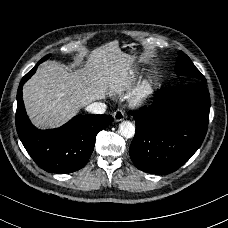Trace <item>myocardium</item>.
I'll list each match as a JSON object with an SVG mask.
<instances>
[{
	"mask_svg": "<svg viewBox=\"0 0 228 228\" xmlns=\"http://www.w3.org/2000/svg\"><path fill=\"white\" fill-rule=\"evenodd\" d=\"M156 93L151 82H146L142 91L140 92L139 98L142 102H150L155 99Z\"/></svg>",
	"mask_w": 228,
	"mask_h": 228,
	"instance_id": "myocardium-1",
	"label": "myocardium"
}]
</instances>
